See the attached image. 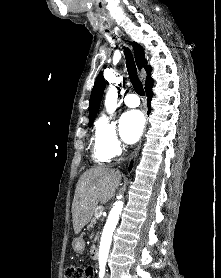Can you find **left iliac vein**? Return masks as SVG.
Here are the masks:
<instances>
[{"instance_id": "4c4485c4", "label": "left iliac vein", "mask_w": 221, "mask_h": 278, "mask_svg": "<svg viewBox=\"0 0 221 278\" xmlns=\"http://www.w3.org/2000/svg\"><path fill=\"white\" fill-rule=\"evenodd\" d=\"M105 278H110V277H109V273L106 274Z\"/></svg>"}]
</instances>
